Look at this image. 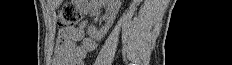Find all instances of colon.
Instances as JSON below:
<instances>
[{"instance_id":"5ec220e1","label":"colon","mask_w":232,"mask_h":65,"mask_svg":"<svg viewBox=\"0 0 232 65\" xmlns=\"http://www.w3.org/2000/svg\"><path fill=\"white\" fill-rule=\"evenodd\" d=\"M81 21V14L79 10L72 4L64 5L57 18V25L61 29L71 28Z\"/></svg>"}]
</instances>
